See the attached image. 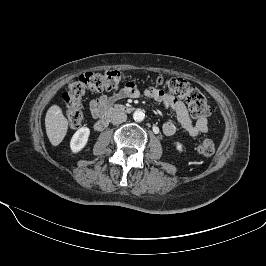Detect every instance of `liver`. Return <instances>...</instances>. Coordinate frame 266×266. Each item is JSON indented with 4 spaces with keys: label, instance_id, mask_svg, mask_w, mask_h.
I'll return each instance as SVG.
<instances>
[{
    "label": "liver",
    "instance_id": "6515ba94",
    "mask_svg": "<svg viewBox=\"0 0 266 266\" xmlns=\"http://www.w3.org/2000/svg\"><path fill=\"white\" fill-rule=\"evenodd\" d=\"M46 134L53 146L59 145L68 130V120L65 118L62 109L54 104L52 105L45 117Z\"/></svg>",
    "mask_w": 266,
    "mask_h": 266
}]
</instances>
